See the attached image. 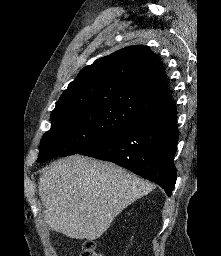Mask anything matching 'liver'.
Returning <instances> with one entry per match:
<instances>
[{
  "mask_svg": "<svg viewBox=\"0 0 221 256\" xmlns=\"http://www.w3.org/2000/svg\"><path fill=\"white\" fill-rule=\"evenodd\" d=\"M154 186L109 162L73 155L53 162L39 181L45 220L72 239L95 240L128 205Z\"/></svg>",
  "mask_w": 221,
  "mask_h": 256,
  "instance_id": "obj_1",
  "label": "liver"
}]
</instances>
